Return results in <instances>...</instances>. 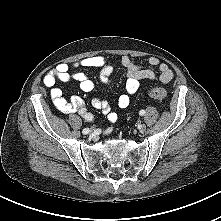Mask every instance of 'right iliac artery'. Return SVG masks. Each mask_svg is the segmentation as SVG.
Wrapping results in <instances>:
<instances>
[{
	"label": "right iliac artery",
	"instance_id": "82829eb1",
	"mask_svg": "<svg viewBox=\"0 0 221 221\" xmlns=\"http://www.w3.org/2000/svg\"><path fill=\"white\" fill-rule=\"evenodd\" d=\"M83 134H88L89 133V128H84L82 131Z\"/></svg>",
	"mask_w": 221,
	"mask_h": 221
}]
</instances>
